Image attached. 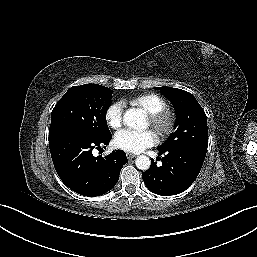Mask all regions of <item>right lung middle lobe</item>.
I'll use <instances>...</instances> for the list:
<instances>
[{
    "label": "right lung middle lobe",
    "instance_id": "obj_1",
    "mask_svg": "<svg viewBox=\"0 0 257 257\" xmlns=\"http://www.w3.org/2000/svg\"><path fill=\"white\" fill-rule=\"evenodd\" d=\"M111 99L112 90L102 85L71 87L52 111L49 134L78 131L97 139L110 137L106 112Z\"/></svg>",
    "mask_w": 257,
    "mask_h": 257
}]
</instances>
